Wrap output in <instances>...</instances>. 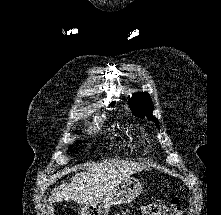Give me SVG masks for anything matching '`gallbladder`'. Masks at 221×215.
<instances>
[{"label": "gallbladder", "instance_id": "gallbladder-1", "mask_svg": "<svg viewBox=\"0 0 221 215\" xmlns=\"http://www.w3.org/2000/svg\"><path fill=\"white\" fill-rule=\"evenodd\" d=\"M53 212H54L53 206H48L46 215H53Z\"/></svg>", "mask_w": 221, "mask_h": 215}]
</instances>
